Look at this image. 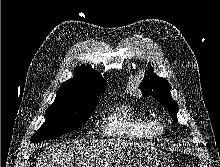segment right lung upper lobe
Returning a JSON list of instances; mask_svg holds the SVG:
<instances>
[{"label": "right lung upper lobe", "instance_id": "obj_1", "mask_svg": "<svg viewBox=\"0 0 220 167\" xmlns=\"http://www.w3.org/2000/svg\"><path fill=\"white\" fill-rule=\"evenodd\" d=\"M106 83L92 68L77 69L74 78L65 81L57 91L56 101L75 97H97Z\"/></svg>", "mask_w": 220, "mask_h": 167}]
</instances>
